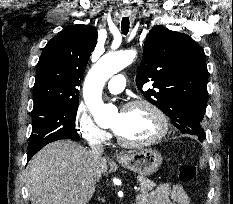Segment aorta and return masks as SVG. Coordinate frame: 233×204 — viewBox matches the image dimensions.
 Here are the masks:
<instances>
[{
    "instance_id": "obj_1",
    "label": "aorta",
    "mask_w": 233,
    "mask_h": 204,
    "mask_svg": "<svg viewBox=\"0 0 233 204\" xmlns=\"http://www.w3.org/2000/svg\"><path fill=\"white\" fill-rule=\"evenodd\" d=\"M135 56L134 51L106 54L88 72L83 86V97L98 125L108 124L111 117L117 112L114 105L104 104L102 100L104 84L114 74L130 65Z\"/></svg>"
}]
</instances>
